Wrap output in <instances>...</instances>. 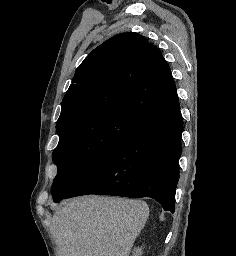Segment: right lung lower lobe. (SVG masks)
Segmentation results:
<instances>
[{
    "mask_svg": "<svg viewBox=\"0 0 236 256\" xmlns=\"http://www.w3.org/2000/svg\"><path fill=\"white\" fill-rule=\"evenodd\" d=\"M183 121L177 100L146 119L65 197H151L174 212ZM59 202V201H58Z\"/></svg>",
    "mask_w": 236,
    "mask_h": 256,
    "instance_id": "1",
    "label": "right lung lower lobe"
}]
</instances>
